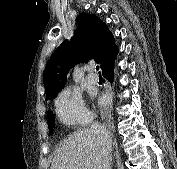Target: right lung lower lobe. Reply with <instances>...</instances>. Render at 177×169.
<instances>
[{
	"instance_id": "1",
	"label": "right lung lower lobe",
	"mask_w": 177,
	"mask_h": 169,
	"mask_svg": "<svg viewBox=\"0 0 177 169\" xmlns=\"http://www.w3.org/2000/svg\"><path fill=\"white\" fill-rule=\"evenodd\" d=\"M103 76L109 81L113 82L114 80V63L107 66L105 69H103Z\"/></svg>"
}]
</instances>
